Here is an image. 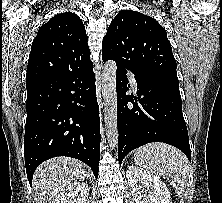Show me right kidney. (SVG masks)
<instances>
[{
    "label": "right kidney",
    "mask_w": 222,
    "mask_h": 203,
    "mask_svg": "<svg viewBox=\"0 0 222 203\" xmlns=\"http://www.w3.org/2000/svg\"><path fill=\"white\" fill-rule=\"evenodd\" d=\"M88 195V184L79 183L71 187L58 203H88Z\"/></svg>",
    "instance_id": "1"
}]
</instances>
